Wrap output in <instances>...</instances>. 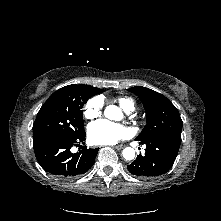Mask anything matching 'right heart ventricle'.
Masks as SVG:
<instances>
[{
	"mask_svg": "<svg viewBox=\"0 0 221 221\" xmlns=\"http://www.w3.org/2000/svg\"><path fill=\"white\" fill-rule=\"evenodd\" d=\"M118 102L120 106L125 110V111H132L135 107V103L132 98L127 97V96H121L118 99Z\"/></svg>",
	"mask_w": 221,
	"mask_h": 221,
	"instance_id": "1",
	"label": "right heart ventricle"
}]
</instances>
